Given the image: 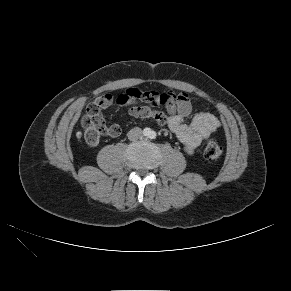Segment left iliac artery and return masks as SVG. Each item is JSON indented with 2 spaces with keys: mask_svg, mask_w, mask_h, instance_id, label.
<instances>
[{
  "mask_svg": "<svg viewBox=\"0 0 291 291\" xmlns=\"http://www.w3.org/2000/svg\"><path fill=\"white\" fill-rule=\"evenodd\" d=\"M156 132H154V131H152L151 133H150V138L151 139H155L156 138Z\"/></svg>",
  "mask_w": 291,
  "mask_h": 291,
  "instance_id": "1",
  "label": "left iliac artery"
}]
</instances>
